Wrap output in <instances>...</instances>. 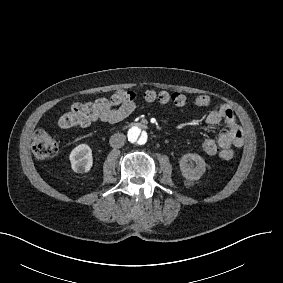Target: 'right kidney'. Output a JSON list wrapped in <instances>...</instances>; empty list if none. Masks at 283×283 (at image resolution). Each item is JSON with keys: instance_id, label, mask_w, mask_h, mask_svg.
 I'll return each instance as SVG.
<instances>
[{"instance_id": "1", "label": "right kidney", "mask_w": 283, "mask_h": 283, "mask_svg": "<svg viewBox=\"0 0 283 283\" xmlns=\"http://www.w3.org/2000/svg\"><path fill=\"white\" fill-rule=\"evenodd\" d=\"M69 159L74 172L86 173L93 164L92 150L87 144H80L71 151Z\"/></svg>"}]
</instances>
